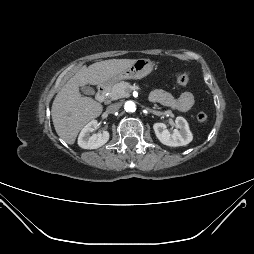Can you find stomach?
Instances as JSON below:
<instances>
[{"mask_svg": "<svg viewBox=\"0 0 254 254\" xmlns=\"http://www.w3.org/2000/svg\"><path fill=\"white\" fill-rule=\"evenodd\" d=\"M153 70V63L150 59H137L134 64L113 77L114 81L126 79H141Z\"/></svg>", "mask_w": 254, "mask_h": 254, "instance_id": "0dacf381", "label": "stomach"}]
</instances>
